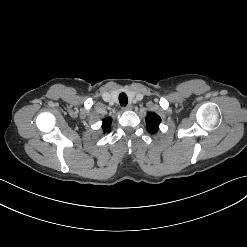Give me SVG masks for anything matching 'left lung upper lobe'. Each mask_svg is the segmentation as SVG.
Listing matches in <instances>:
<instances>
[{
  "instance_id": "5c2ea615",
  "label": "left lung upper lobe",
  "mask_w": 247,
  "mask_h": 247,
  "mask_svg": "<svg viewBox=\"0 0 247 247\" xmlns=\"http://www.w3.org/2000/svg\"><path fill=\"white\" fill-rule=\"evenodd\" d=\"M160 122H161V118L157 114L150 112L146 116L147 131L151 134H155L159 130Z\"/></svg>"
}]
</instances>
